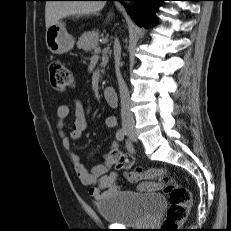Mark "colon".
Instances as JSON below:
<instances>
[{"mask_svg": "<svg viewBox=\"0 0 231 231\" xmlns=\"http://www.w3.org/2000/svg\"><path fill=\"white\" fill-rule=\"evenodd\" d=\"M49 73L50 82L54 90L66 92L74 87L73 74L61 61H52ZM109 156L119 169L127 171V178L130 182H138L142 179H160L164 182V192L168 197L170 206L161 226V231H174L187 219L192 206L191 193L187 188L160 170H144L142 168L131 170L133 165L132 157L119 150L112 151Z\"/></svg>", "mask_w": 231, "mask_h": 231, "instance_id": "1", "label": "colon"}]
</instances>
